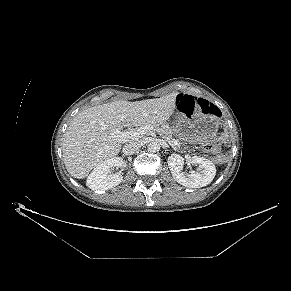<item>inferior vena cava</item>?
<instances>
[{"mask_svg":"<svg viewBox=\"0 0 291 291\" xmlns=\"http://www.w3.org/2000/svg\"><path fill=\"white\" fill-rule=\"evenodd\" d=\"M140 147L141 145L138 142H130L124 145L122 151L125 155H132L136 153Z\"/></svg>","mask_w":291,"mask_h":291,"instance_id":"inferior-vena-cava-1","label":"inferior vena cava"}]
</instances>
